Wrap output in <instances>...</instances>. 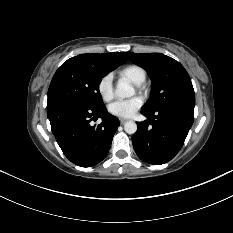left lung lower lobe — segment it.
<instances>
[{
	"instance_id": "0a47b994",
	"label": "left lung lower lobe",
	"mask_w": 233,
	"mask_h": 233,
	"mask_svg": "<svg viewBox=\"0 0 233 233\" xmlns=\"http://www.w3.org/2000/svg\"><path fill=\"white\" fill-rule=\"evenodd\" d=\"M149 118L137 123L132 143L138 157L146 163L160 165L179 152L194 121V112L181 108L142 110Z\"/></svg>"
}]
</instances>
